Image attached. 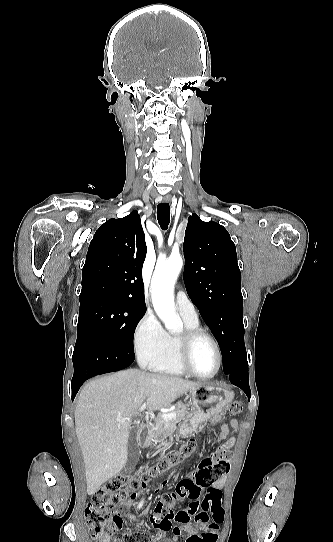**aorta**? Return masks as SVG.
Returning a JSON list of instances; mask_svg holds the SVG:
<instances>
[{"mask_svg":"<svg viewBox=\"0 0 333 542\" xmlns=\"http://www.w3.org/2000/svg\"><path fill=\"white\" fill-rule=\"evenodd\" d=\"M183 266L181 256H170L156 266L152 282V304L167 330H181V318L175 312L173 286Z\"/></svg>","mask_w":333,"mask_h":542,"instance_id":"762f6f07","label":"aorta"}]
</instances>
